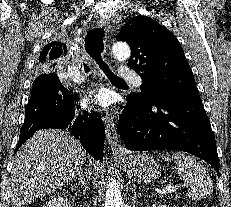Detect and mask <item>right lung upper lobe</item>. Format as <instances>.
<instances>
[{"label": "right lung upper lobe", "mask_w": 231, "mask_h": 207, "mask_svg": "<svg viewBox=\"0 0 231 207\" xmlns=\"http://www.w3.org/2000/svg\"><path fill=\"white\" fill-rule=\"evenodd\" d=\"M67 50L66 44L61 42H52L44 47L40 54L39 61L42 64L51 62L62 55Z\"/></svg>", "instance_id": "right-lung-upper-lobe-1"}]
</instances>
